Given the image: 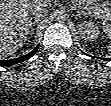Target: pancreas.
Segmentation results:
<instances>
[{
    "label": "pancreas",
    "instance_id": "obj_1",
    "mask_svg": "<svg viewBox=\"0 0 111 106\" xmlns=\"http://www.w3.org/2000/svg\"><path fill=\"white\" fill-rule=\"evenodd\" d=\"M111 2H97L96 0H81V7L84 8L90 16L99 19H111V9L108 7Z\"/></svg>",
    "mask_w": 111,
    "mask_h": 106
}]
</instances>
